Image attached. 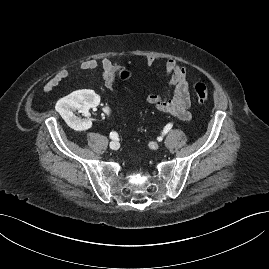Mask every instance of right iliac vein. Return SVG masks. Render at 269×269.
Returning a JSON list of instances; mask_svg holds the SVG:
<instances>
[{
	"instance_id": "1",
	"label": "right iliac vein",
	"mask_w": 269,
	"mask_h": 269,
	"mask_svg": "<svg viewBox=\"0 0 269 269\" xmlns=\"http://www.w3.org/2000/svg\"><path fill=\"white\" fill-rule=\"evenodd\" d=\"M109 146L112 150H117L119 148V143L117 141H111Z\"/></svg>"
}]
</instances>
